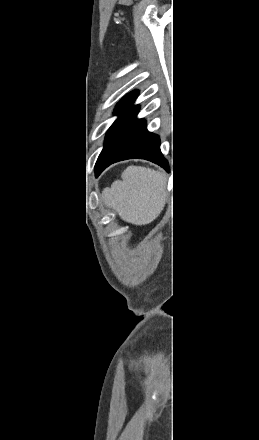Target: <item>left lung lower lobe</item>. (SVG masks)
Wrapping results in <instances>:
<instances>
[{
	"instance_id": "0a47b994",
	"label": "left lung lower lobe",
	"mask_w": 259,
	"mask_h": 440,
	"mask_svg": "<svg viewBox=\"0 0 259 440\" xmlns=\"http://www.w3.org/2000/svg\"><path fill=\"white\" fill-rule=\"evenodd\" d=\"M138 111V105L132 108L102 150L95 166L96 176L110 164L131 158L150 160L169 171L159 137L147 131L144 120L136 119Z\"/></svg>"
}]
</instances>
